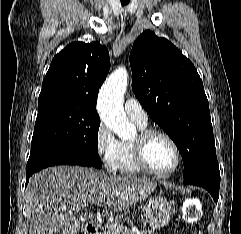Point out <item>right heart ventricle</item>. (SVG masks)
<instances>
[{"mask_svg": "<svg viewBox=\"0 0 241 234\" xmlns=\"http://www.w3.org/2000/svg\"><path fill=\"white\" fill-rule=\"evenodd\" d=\"M138 126L141 130L146 128V126ZM116 171L126 175H137L142 172L135 160L133 141H120Z\"/></svg>", "mask_w": 241, "mask_h": 234, "instance_id": "obj_1", "label": "right heart ventricle"}]
</instances>
